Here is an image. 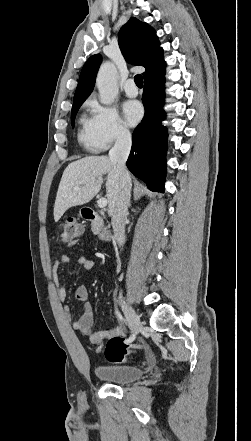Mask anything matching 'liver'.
<instances>
[{
    "label": "liver",
    "mask_w": 251,
    "mask_h": 441,
    "mask_svg": "<svg viewBox=\"0 0 251 441\" xmlns=\"http://www.w3.org/2000/svg\"><path fill=\"white\" fill-rule=\"evenodd\" d=\"M104 175H107L105 186L108 213L112 214L120 192L119 171L107 156H88L73 161L64 170L54 205L55 222L69 208L92 200L101 189Z\"/></svg>",
    "instance_id": "6515ba94"
}]
</instances>
